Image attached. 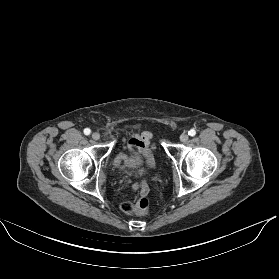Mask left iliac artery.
<instances>
[{"label":"left iliac artery","instance_id":"obj_1","mask_svg":"<svg viewBox=\"0 0 279 279\" xmlns=\"http://www.w3.org/2000/svg\"><path fill=\"white\" fill-rule=\"evenodd\" d=\"M195 134H196V131L194 130V129H191V130H189V132H188V135H190V136H195Z\"/></svg>","mask_w":279,"mask_h":279}]
</instances>
